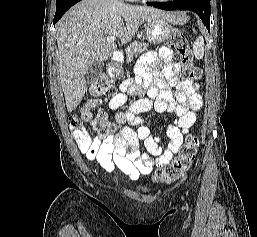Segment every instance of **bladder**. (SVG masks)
<instances>
[{"instance_id": "bladder-1", "label": "bladder", "mask_w": 257, "mask_h": 237, "mask_svg": "<svg viewBox=\"0 0 257 237\" xmlns=\"http://www.w3.org/2000/svg\"><path fill=\"white\" fill-rule=\"evenodd\" d=\"M138 190H139L141 193H149V192H150L149 188L146 187V186H141V187L138 188Z\"/></svg>"}]
</instances>
